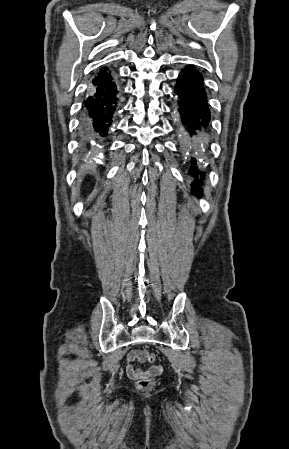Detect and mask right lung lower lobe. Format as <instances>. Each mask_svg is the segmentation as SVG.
Returning a JSON list of instances; mask_svg holds the SVG:
<instances>
[{"label":"right lung lower lobe","mask_w":289,"mask_h":449,"mask_svg":"<svg viewBox=\"0 0 289 449\" xmlns=\"http://www.w3.org/2000/svg\"><path fill=\"white\" fill-rule=\"evenodd\" d=\"M117 101L115 83L104 67L92 81L84 101L81 126L87 138L101 141L108 135Z\"/></svg>","instance_id":"obj_1"}]
</instances>
